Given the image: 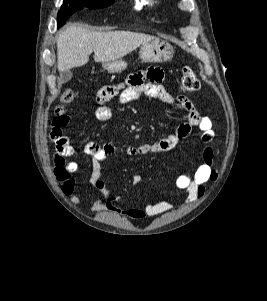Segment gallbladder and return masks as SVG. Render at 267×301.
Returning a JSON list of instances; mask_svg holds the SVG:
<instances>
[{
  "label": "gallbladder",
  "instance_id": "obj_1",
  "mask_svg": "<svg viewBox=\"0 0 267 301\" xmlns=\"http://www.w3.org/2000/svg\"><path fill=\"white\" fill-rule=\"evenodd\" d=\"M72 76H73V74L69 70L60 71V75L58 77V82L59 83H66L72 78Z\"/></svg>",
  "mask_w": 267,
  "mask_h": 301
}]
</instances>
